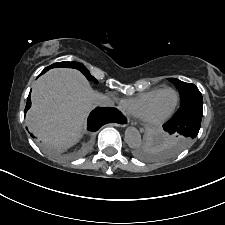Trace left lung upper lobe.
I'll use <instances>...</instances> for the list:
<instances>
[{
	"mask_svg": "<svg viewBox=\"0 0 225 225\" xmlns=\"http://www.w3.org/2000/svg\"><path fill=\"white\" fill-rule=\"evenodd\" d=\"M170 81L174 83L175 86L179 89L181 95L180 108L178 109L177 113L192 107H203L202 94L194 84L185 83L175 78H170ZM170 139V152L172 153L180 151L181 149L189 145L193 140L182 137L178 134L171 135ZM181 144H184V147L180 148L179 145Z\"/></svg>",
	"mask_w": 225,
	"mask_h": 225,
	"instance_id": "1",
	"label": "left lung upper lobe"
}]
</instances>
